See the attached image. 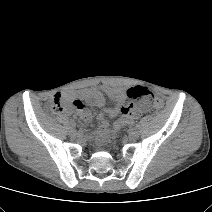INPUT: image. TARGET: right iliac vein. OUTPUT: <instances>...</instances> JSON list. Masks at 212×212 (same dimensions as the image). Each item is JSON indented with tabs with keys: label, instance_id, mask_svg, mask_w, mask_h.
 <instances>
[{
	"label": "right iliac vein",
	"instance_id": "obj_1",
	"mask_svg": "<svg viewBox=\"0 0 212 212\" xmlns=\"http://www.w3.org/2000/svg\"><path fill=\"white\" fill-rule=\"evenodd\" d=\"M69 134H70L71 136H75V135L77 134V132H76V130H75L74 128H71V129L69 130Z\"/></svg>",
	"mask_w": 212,
	"mask_h": 212
}]
</instances>
